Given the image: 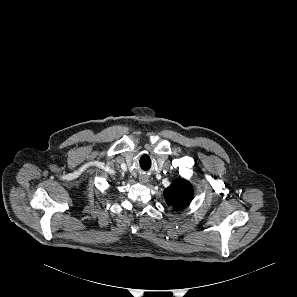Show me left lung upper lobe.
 <instances>
[{
  "label": "left lung upper lobe",
  "instance_id": "left-lung-upper-lobe-1",
  "mask_svg": "<svg viewBox=\"0 0 297 297\" xmlns=\"http://www.w3.org/2000/svg\"><path fill=\"white\" fill-rule=\"evenodd\" d=\"M193 196L190 183L184 179L174 181L164 191V198L169 206L181 210L189 205Z\"/></svg>",
  "mask_w": 297,
  "mask_h": 297
}]
</instances>
